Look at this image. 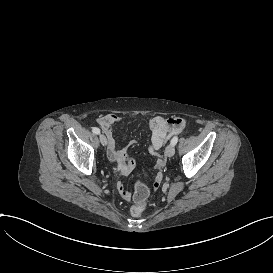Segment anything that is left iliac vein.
I'll return each instance as SVG.
<instances>
[{
	"label": "left iliac vein",
	"instance_id": "1",
	"mask_svg": "<svg viewBox=\"0 0 273 273\" xmlns=\"http://www.w3.org/2000/svg\"><path fill=\"white\" fill-rule=\"evenodd\" d=\"M175 153V147L172 144H169L165 149V155L167 157H172Z\"/></svg>",
	"mask_w": 273,
	"mask_h": 273
}]
</instances>
